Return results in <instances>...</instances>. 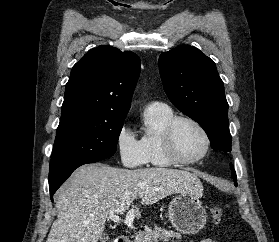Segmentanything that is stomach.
<instances>
[{"instance_id": "1", "label": "stomach", "mask_w": 279, "mask_h": 242, "mask_svg": "<svg viewBox=\"0 0 279 242\" xmlns=\"http://www.w3.org/2000/svg\"><path fill=\"white\" fill-rule=\"evenodd\" d=\"M168 217L178 232L187 235L198 233L207 219L205 207L193 193L176 195L169 204Z\"/></svg>"}]
</instances>
